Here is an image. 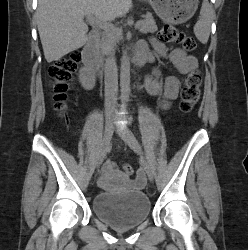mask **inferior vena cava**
I'll use <instances>...</instances> for the list:
<instances>
[{
  "label": "inferior vena cava",
  "mask_w": 248,
  "mask_h": 250,
  "mask_svg": "<svg viewBox=\"0 0 248 250\" xmlns=\"http://www.w3.org/2000/svg\"><path fill=\"white\" fill-rule=\"evenodd\" d=\"M114 52L109 51L105 60V115L114 118L117 111L118 73Z\"/></svg>",
  "instance_id": "inferior-vena-cava-1"
}]
</instances>
